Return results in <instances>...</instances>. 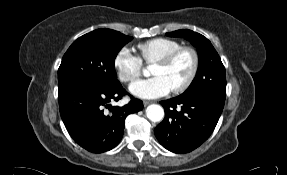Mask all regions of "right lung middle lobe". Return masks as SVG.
<instances>
[{
  "mask_svg": "<svg viewBox=\"0 0 287 175\" xmlns=\"http://www.w3.org/2000/svg\"><path fill=\"white\" fill-rule=\"evenodd\" d=\"M131 40L132 37L110 29H97L75 40L58 69V90L75 84L104 89L119 86L114 61Z\"/></svg>",
  "mask_w": 287,
  "mask_h": 175,
  "instance_id": "1",
  "label": "right lung middle lobe"
}]
</instances>
